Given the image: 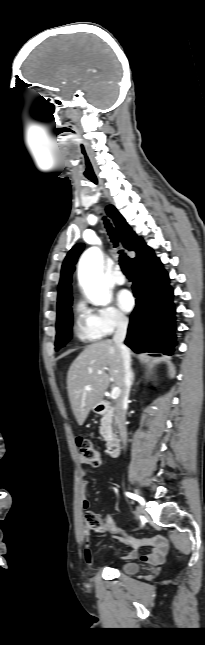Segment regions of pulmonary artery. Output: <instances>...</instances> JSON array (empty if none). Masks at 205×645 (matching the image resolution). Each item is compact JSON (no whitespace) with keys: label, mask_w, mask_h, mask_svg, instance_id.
I'll return each instance as SVG.
<instances>
[{"label":"pulmonary artery","mask_w":205,"mask_h":645,"mask_svg":"<svg viewBox=\"0 0 205 645\" xmlns=\"http://www.w3.org/2000/svg\"><path fill=\"white\" fill-rule=\"evenodd\" d=\"M111 280L117 285H123L126 282L125 276L123 275L119 267H116L111 273Z\"/></svg>","instance_id":"e3ab8cb5"}]
</instances>
